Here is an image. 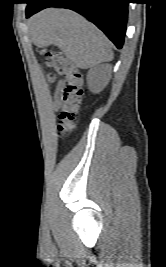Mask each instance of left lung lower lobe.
I'll return each instance as SVG.
<instances>
[{"label":"left lung lower lobe","mask_w":166,"mask_h":267,"mask_svg":"<svg viewBox=\"0 0 166 267\" xmlns=\"http://www.w3.org/2000/svg\"><path fill=\"white\" fill-rule=\"evenodd\" d=\"M26 16L29 18L47 7L74 10L102 30L109 39L122 48L127 23V4L130 0H27Z\"/></svg>","instance_id":"0a47b994"}]
</instances>
